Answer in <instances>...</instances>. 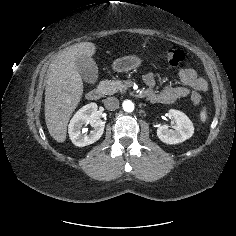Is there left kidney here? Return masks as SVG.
<instances>
[{
  "label": "left kidney",
  "mask_w": 236,
  "mask_h": 236,
  "mask_svg": "<svg viewBox=\"0 0 236 236\" xmlns=\"http://www.w3.org/2000/svg\"><path fill=\"white\" fill-rule=\"evenodd\" d=\"M169 116L176 121L174 129H169L167 125L159 126L157 129L158 138L166 144H178L190 137L194 133V126L191 120L179 110H170Z\"/></svg>",
  "instance_id": "obj_1"
}]
</instances>
